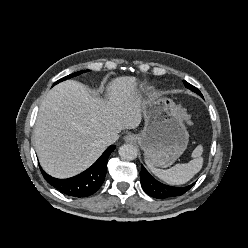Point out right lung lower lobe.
<instances>
[{"instance_id":"98d812e1","label":"right lung lower lobe","mask_w":248,"mask_h":248,"mask_svg":"<svg viewBox=\"0 0 248 248\" xmlns=\"http://www.w3.org/2000/svg\"><path fill=\"white\" fill-rule=\"evenodd\" d=\"M115 148V145L109 146L90 168L72 178L57 179L46 174L41 167L40 169L45 180L60 192L74 197H87L101 187L106 175L108 157Z\"/></svg>"}]
</instances>
